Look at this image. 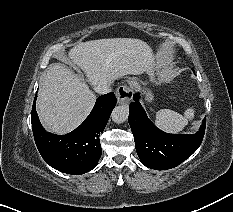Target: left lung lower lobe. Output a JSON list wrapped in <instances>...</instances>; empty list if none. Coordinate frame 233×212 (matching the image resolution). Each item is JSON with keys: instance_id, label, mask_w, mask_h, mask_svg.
Instances as JSON below:
<instances>
[{"instance_id": "0a47b994", "label": "left lung lower lobe", "mask_w": 233, "mask_h": 212, "mask_svg": "<svg viewBox=\"0 0 233 212\" xmlns=\"http://www.w3.org/2000/svg\"><path fill=\"white\" fill-rule=\"evenodd\" d=\"M129 107V125L134 135L141 162L155 170L171 169L189 158L200 146L206 126L203 119L198 132L192 135L168 134L158 129L139 103V94Z\"/></svg>"}]
</instances>
